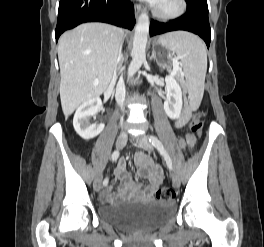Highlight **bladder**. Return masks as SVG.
Listing matches in <instances>:
<instances>
[{
	"mask_svg": "<svg viewBox=\"0 0 264 247\" xmlns=\"http://www.w3.org/2000/svg\"><path fill=\"white\" fill-rule=\"evenodd\" d=\"M174 205L165 201L125 202L98 207L100 220L130 233L155 230L173 217Z\"/></svg>",
	"mask_w": 264,
	"mask_h": 247,
	"instance_id": "obj_1",
	"label": "bladder"
}]
</instances>
